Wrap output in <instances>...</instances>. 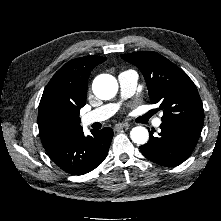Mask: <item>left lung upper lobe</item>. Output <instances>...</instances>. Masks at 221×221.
<instances>
[{
	"label": "left lung upper lobe",
	"mask_w": 221,
	"mask_h": 221,
	"mask_svg": "<svg viewBox=\"0 0 221 221\" xmlns=\"http://www.w3.org/2000/svg\"><path fill=\"white\" fill-rule=\"evenodd\" d=\"M121 57L137 66L146 80L152 104L159 103L162 122H188L203 125V104L189 76L156 52L140 51Z\"/></svg>",
	"instance_id": "1"
}]
</instances>
